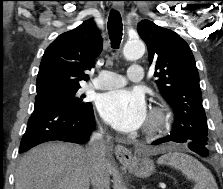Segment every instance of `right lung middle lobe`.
<instances>
[{
    "label": "right lung middle lobe",
    "instance_id": "1",
    "mask_svg": "<svg viewBox=\"0 0 223 189\" xmlns=\"http://www.w3.org/2000/svg\"><path fill=\"white\" fill-rule=\"evenodd\" d=\"M79 88H55L37 92L35 102L56 103L78 111H85L92 107V104L90 102H84V97L78 95L77 91Z\"/></svg>",
    "mask_w": 223,
    "mask_h": 189
}]
</instances>
